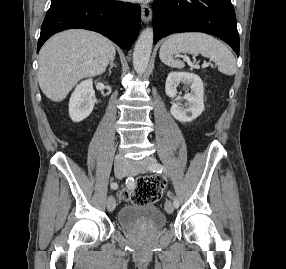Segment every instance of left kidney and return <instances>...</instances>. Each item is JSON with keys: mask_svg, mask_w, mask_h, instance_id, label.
I'll return each mask as SVG.
<instances>
[{"mask_svg": "<svg viewBox=\"0 0 286 269\" xmlns=\"http://www.w3.org/2000/svg\"><path fill=\"white\" fill-rule=\"evenodd\" d=\"M190 85L191 92L183 97L177 96V86L179 83ZM166 95L175 98V103L171 106L172 116L180 122H190L196 119L204 111V87L201 78L188 72H171L165 84ZM180 100H184L181 105Z\"/></svg>", "mask_w": 286, "mask_h": 269, "instance_id": "obj_1", "label": "left kidney"}]
</instances>
